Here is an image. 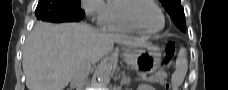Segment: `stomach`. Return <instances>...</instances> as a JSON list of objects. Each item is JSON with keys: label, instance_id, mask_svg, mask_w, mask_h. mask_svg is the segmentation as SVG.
Returning <instances> with one entry per match:
<instances>
[{"label": "stomach", "instance_id": "stomach-1", "mask_svg": "<svg viewBox=\"0 0 228 90\" xmlns=\"http://www.w3.org/2000/svg\"><path fill=\"white\" fill-rule=\"evenodd\" d=\"M125 60L133 68L144 72H153L161 64V52L157 46L147 42L142 49L126 56Z\"/></svg>", "mask_w": 228, "mask_h": 90}]
</instances>
